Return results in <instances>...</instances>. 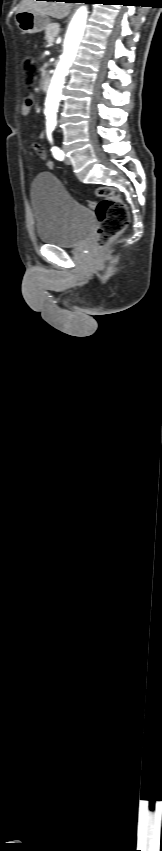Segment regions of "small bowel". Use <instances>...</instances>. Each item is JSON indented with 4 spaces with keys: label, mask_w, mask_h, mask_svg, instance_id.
<instances>
[{
    "label": "small bowel",
    "mask_w": 162,
    "mask_h": 851,
    "mask_svg": "<svg viewBox=\"0 0 162 851\" xmlns=\"http://www.w3.org/2000/svg\"><path fill=\"white\" fill-rule=\"evenodd\" d=\"M33 104H34V99H33L32 96L28 95L24 98L22 105H21V109H20L21 115L23 117H27L30 114V111L33 107ZM43 138H44V133H41L40 139H43ZM33 149L41 158H43V159L46 158V152H45V149L43 148L42 145H40L39 143H34ZM46 166L48 168H53L54 162L51 161V160H46Z\"/></svg>",
    "instance_id": "c3829d8e"
}]
</instances>
